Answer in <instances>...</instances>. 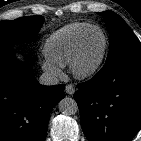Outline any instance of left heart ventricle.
Wrapping results in <instances>:
<instances>
[{"label": "left heart ventricle", "instance_id": "1", "mask_svg": "<svg viewBox=\"0 0 141 141\" xmlns=\"http://www.w3.org/2000/svg\"><path fill=\"white\" fill-rule=\"evenodd\" d=\"M104 45L103 35L98 30H92L87 35L80 59V67L88 68L99 58Z\"/></svg>", "mask_w": 141, "mask_h": 141}]
</instances>
